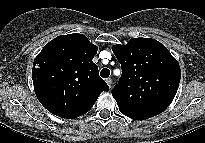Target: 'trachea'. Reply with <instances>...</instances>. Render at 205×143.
<instances>
[{
	"instance_id": "trachea-1",
	"label": "trachea",
	"mask_w": 205,
	"mask_h": 143,
	"mask_svg": "<svg viewBox=\"0 0 205 143\" xmlns=\"http://www.w3.org/2000/svg\"><path fill=\"white\" fill-rule=\"evenodd\" d=\"M101 77L107 78L110 75V70L107 68H104L100 72Z\"/></svg>"
}]
</instances>
